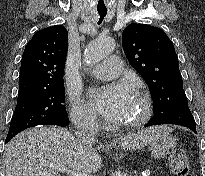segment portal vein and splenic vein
<instances>
[{
	"instance_id": "18ae733b",
	"label": "portal vein and splenic vein",
	"mask_w": 205,
	"mask_h": 176,
	"mask_svg": "<svg viewBox=\"0 0 205 176\" xmlns=\"http://www.w3.org/2000/svg\"><path fill=\"white\" fill-rule=\"evenodd\" d=\"M43 163L46 166H49L50 168L55 169L56 171L66 174L67 176H91L90 174H82L76 171H72L67 166H64V165H58V164L47 162V161H43Z\"/></svg>"
}]
</instances>
